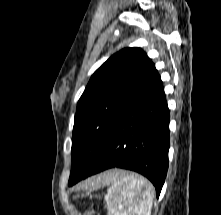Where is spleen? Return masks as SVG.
Wrapping results in <instances>:
<instances>
[{
	"mask_svg": "<svg viewBox=\"0 0 221 215\" xmlns=\"http://www.w3.org/2000/svg\"><path fill=\"white\" fill-rule=\"evenodd\" d=\"M109 184L108 215H151L154 192L144 177L116 171Z\"/></svg>",
	"mask_w": 221,
	"mask_h": 215,
	"instance_id": "1",
	"label": "spleen"
}]
</instances>
